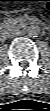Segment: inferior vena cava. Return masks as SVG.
Listing matches in <instances>:
<instances>
[{
    "mask_svg": "<svg viewBox=\"0 0 50 111\" xmlns=\"http://www.w3.org/2000/svg\"><path fill=\"white\" fill-rule=\"evenodd\" d=\"M22 34H23V31L18 30V31L12 32V33L10 34V36L14 37V36H20V35H22Z\"/></svg>",
    "mask_w": 50,
    "mask_h": 111,
    "instance_id": "obj_1",
    "label": "inferior vena cava"
}]
</instances>
